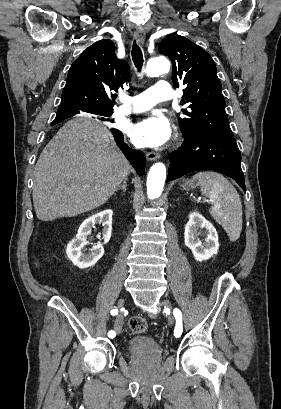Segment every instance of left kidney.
<instances>
[{"label":"left kidney","instance_id":"obj_1","mask_svg":"<svg viewBox=\"0 0 281 409\" xmlns=\"http://www.w3.org/2000/svg\"><path fill=\"white\" fill-rule=\"evenodd\" d=\"M200 235H204V241L199 239ZM184 239L186 247L191 249L196 261H207L213 255H217L219 249L217 231L199 211H191L189 221L185 225Z\"/></svg>","mask_w":281,"mask_h":409}]
</instances>
